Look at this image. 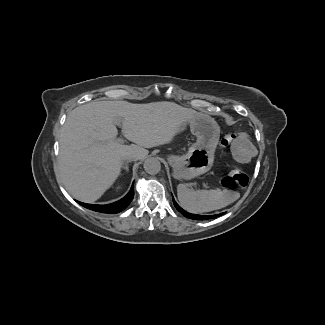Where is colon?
Instances as JSON below:
<instances>
[{
    "label": "colon",
    "mask_w": 325,
    "mask_h": 325,
    "mask_svg": "<svg viewBox=\"0 0 325 325\" xmlns=\"http://www.w3.org/2000/svg\"><path fill=\"white\" fill-rule=\"evenodd\" d=\"M234 136L232 134H225L221 140V144L228 146ZM248 183V177L239 169L231 170L223 179L222 186L226 189H233L235 187H243Z\"/></svg>",
    "instance_id": "colon-1"
}]
</instances>
